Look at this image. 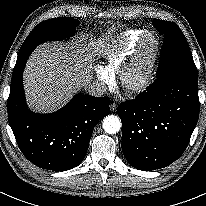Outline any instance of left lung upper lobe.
<instances>
[{
    "instance_id": "1",
    "label": "left lung upper lobe",
    "mask_w": 206,
    "mask_h": 206,
    "mask_svg": "<svg viewBox=\"0 0 206 206\" xmlns=\"http://www.w3.org/2000/svg\"><path fill=\"white\" fill-rule=\"evenodd\" d=\"M153 25L164 34L157 79L153 85L172 77L197 78L192 53L180 28L173 22L159 19H154Z\"/></svg>"
}]
</instances>
